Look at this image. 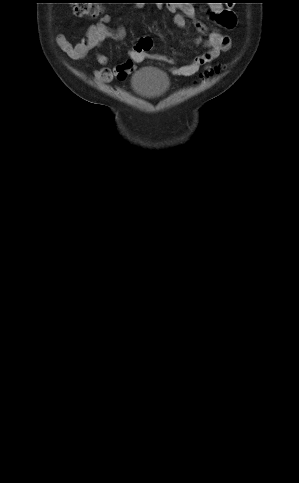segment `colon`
Here are the masks:
<instances>
[{"label":"colon","mask_w":299,"mask_h":483,"mask_svg":"<svg viewBox=\"0 0 299 483\" xmlns=\"http://www.w3.org/2000/svg\"><path fill=\"white\" fill-rule=\"evenodd\" d=\"M74 7V15L81 18H95L102 12V3H108L106 0H78ZM190 3H195L191 0ZM217 71L216 68H208L206 75H212Z\"/></svg>","instance_id":"5ec220e1"}]
</instances>
